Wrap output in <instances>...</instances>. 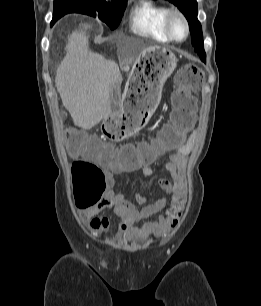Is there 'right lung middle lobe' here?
I'll use <instances>...</instances> for the list:
<instances>
[{
    "label": "right lung middle lobe",
    "instance_id": "dd1d6c3e",
    "mask_svg": "<svg viewBox=\"0 0 261 306\" xmlns=\"http://www.w3.org/2000/svg\"><path fill=\"white\" fill-rule=\"evenodd\" d=\"M126 2L127 0H113L111 3L105 0H74L54 3L53 20L57 21L67 13L97 15L110 29H115L121 21Z\"/></svg>",
    "mask_w": 261,
    "mask_h": 306
}]
</instances>
